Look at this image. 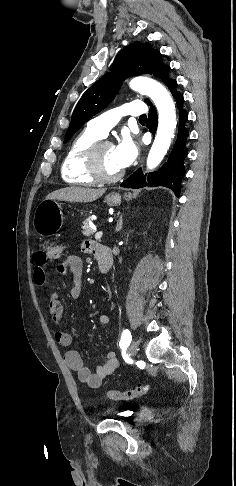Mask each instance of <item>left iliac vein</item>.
<instances>
[{
    "label": "left iliac vein",
    "mask_w": 236,
    "mask_h": 486,
    "mask_svg": "<svg viewBox=\"0 0 236 486\" xmlns=\"http://www.w3.org/2000/svg\"><path fill=\"white\" fill-rule=\"evenodd\" d=\"M129 355L135 357L138 352V342L133 340L128 347Z\"/></svg>",
    "instance_id": "1"
}]
</instances>
